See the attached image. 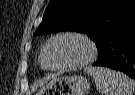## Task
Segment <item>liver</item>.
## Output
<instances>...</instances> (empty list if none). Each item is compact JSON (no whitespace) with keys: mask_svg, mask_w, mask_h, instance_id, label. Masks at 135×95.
Instances as JSON below:
<instances>
[{"mask_svg":"<svg viewBox=\"0 0 135 95\" xmlns=\"http://www.w3.org/2000/svg\"><path fill=\"white\" fill-rule=\"evenodd\" d=\"M56 76L55 75H53L52 77H47V78H45L44 80H42L41 82H39V84L37 85V86H42V85H44L50 78H55Z\"/></svg>","mask_w":135,"mask_h":95,"instance_id":"1","label":"liver"}]
</instances>
